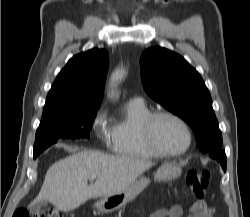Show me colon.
Returning <instances> with one entry per match:
<instances>
[{
  "label": "colon",
  "mask_w": 250,
  "mask_h": 217,
  "mask_svg": "<svg viewBox=\"0 0 250 217\" xmlns=\"http://www.w3.org/2000/svg\"><path fill=\"white\" fill-rule=\"evenodd\" d=\"M185 181L190 194L196 198L194 205L197 208V212L206 217H211L212 208L208 207L202 201V197L205 195L212 181L211 172L208 169L189 171L185 176ZM13 217H65V215L61 210L56 208L38 211L32 215L27 209L20 208L14 213Z\"/></svg>",
  "instance_id": "1"
}]
</instances>
